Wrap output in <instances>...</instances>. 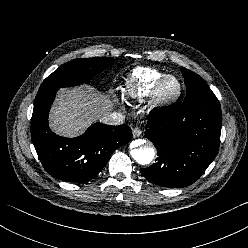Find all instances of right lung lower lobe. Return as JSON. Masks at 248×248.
Masks as SVG:
<instances>
[{
	"mask_svg": "<svg viewBox=\"0 0 248 248\" xmlns=\"http://www.w3.org/2000/svg\"><path fill=\"white\" fill-rule=\"evenodd\" d=\"M57 90L38 92L31 119V136L45 170L54 178L82 183L93 179L107 164L118 147L132 139L127 124L110 126L94 123L77 138L54 134L48 114Z\"/></svg>",
	"mask_w": 248,
	"mask_h": 248,
	"instance_id": "98d812e1",
	"label": "right lung lower lobe"
}]
</instances>
